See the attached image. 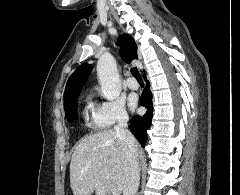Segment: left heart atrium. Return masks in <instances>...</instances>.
<instances>
[{
  "label": "left heart atrium",
  "instance_id": "39dd6f15",
  "mask_svg": "<svg viewBox=\"0 0 240 195\" xmlns=\"http://www.w3.org/2000/svg\"><path fill=\"white\" fill-rule=\"evenodd\" d=\"M136 103H137L136 99L133 98L132 101H131V105H132L133 107H135V106H136Z\"/></svg>",
  "mask_w": 240,
  "mask_h": 195
}]
</instances>
